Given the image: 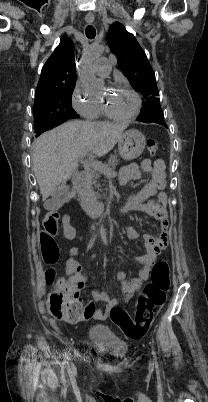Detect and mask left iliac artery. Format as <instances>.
<instances>
[{
	"label": "left iliac artery",
	"instance_id": "44dca946",
	"mask_svg": "<svg viewBox=\"0 0 208 402\" xmlns=\"http://www.w3.org/2000/svg\"><path fill=\"white\" fill-rule=\"evenodd\" d=\"M151 345H152V354L155 356V351L153 349V344L151 343Z\"/></svg>",
	"mask_w": 208,
	"mask_h": 402
}]
</instances>
